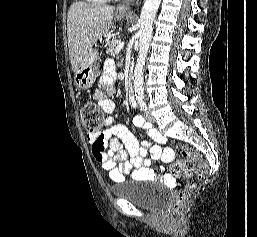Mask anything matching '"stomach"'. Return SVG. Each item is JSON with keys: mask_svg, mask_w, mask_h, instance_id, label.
Wrapping results in <instances>:
<instances>
[{"mask_svg": "<svg viewBox=\"0 0 257 237\" xmlns=\"http://www.w3.org/2000/svg\"><path fill=\"white\" fill-rule=\"evenodd\" d=\"M125 15L116 14L117 20L125 19ZM98 50L92 48L83 58L75 72L74 84L79 90L89 89L97 77Z\"/></svg>", "mask_w": 257, "mask_h": 237, "instance_id": "0dacf381", "label": "stomach"}]
</instances>
